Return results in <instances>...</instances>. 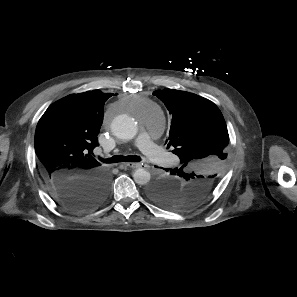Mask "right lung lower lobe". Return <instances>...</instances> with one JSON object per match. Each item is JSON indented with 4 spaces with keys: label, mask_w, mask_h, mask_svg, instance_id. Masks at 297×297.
<instances>
[{
    "label": "right lung lower lobe",
    "mask_w": 297,
    "mask_h": 297,
    "mask_svg": "<svg viewBox=\"0 0 297 297\" xmlns=\"http://www.w3.org/2000/svg\"><path fill=\"white\" fill-rule=\"evenodd\" d=\"M52 198L71 211H89L99 206L107 196L109 177L103 171L79 179L55 175L46 182Z\"/></svg>",
    "instance_id": "obj_1"
}]
</instances>
